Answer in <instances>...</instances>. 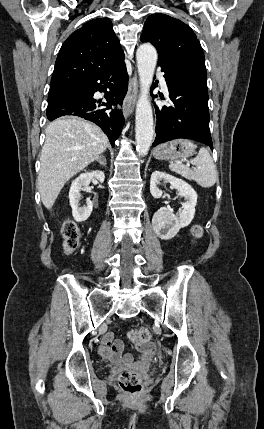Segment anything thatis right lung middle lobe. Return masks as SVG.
I'll list each match as a JSON object with an SVG mask.
<instances>
[{"instance_id":"obj_1","label":"right lung middle lobe","mask_w":264,"mask_h":429,"mask_svg":"<svg viewBox=\"0 0 264 429\" xmlns=\"http://www.w3.org/2000/svg\"><path fill=\"white\" fill-rule=\"evenodd\" d=\"M73 86H64V87H56V88H50L49 95H48V101L55 98L56 96L64 93L65 91L69 90Z\"/></svg>"}]
</instances>
